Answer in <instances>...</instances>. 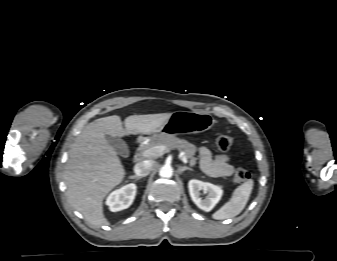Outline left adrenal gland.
I'll return each instance as SVG.
<instances>
[{
  "label": "left adrenal gland",
  "instance_id": "left-adrenal-gland-1",
  "mask_svg": "<svg viewBox=\"0 0 337 261\" xmlns=\"http://www.w3.org/2000/svg\"><path fill=\"white\" fill-rule=\"evenodd\" d=\"M179 170H180L181 172H183V171H185V170L193 171L192 168H189V167H187V166H180V167H179Z\"/></svg>",
  "mask_w": 337,
  "mask_h": 261
}]
</instances>
